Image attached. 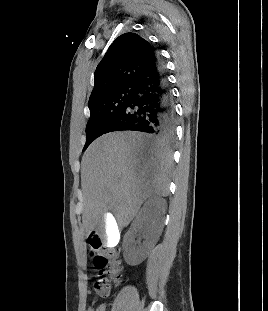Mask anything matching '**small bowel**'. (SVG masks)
Instances as JSON below:
<instances>
[{
  "instance_id": "obj_1",
  "label": "small bowel",
  "mask_w": 268,
  "mask_h": 311,
  "mask_svg": "<svg viewBox=\"0 0 268 311\" xmlns=\"http://www.w3.org/2000/svg\"><path fill=\"white\" fill-rule=\"evenodd\" d=\"M86 311H93V308H92V307H88V308L86 309Z\"/></svg>"
}]
</instances>
